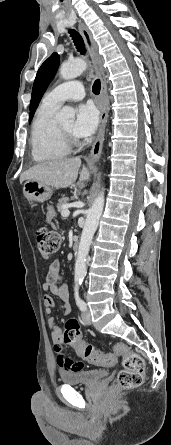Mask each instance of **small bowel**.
<instances>
[{
	"label": "small bowel",
	"instance_id": "c3829d8e",
	"mask_svg": "<svg viewBox=\"0 0 171 445\" xmlns=\"http://www.w3.org/2000/svg\"><path fill=\"white\" fill-rule=\"evenodd\" d=\"M53 209L48 208L45 221L53 226ZM60 263L54 261L50 267L43 283V289L49 292L51 295L58 297L61 300L59 308L67 315L71 312V305L69 303V288L65 283H59L60 277ZM44 311L47 315H50L55 307L53 298L49 294H45L43 297ZM47 327L51 333V339L56 354V362L61 371H78L81 370L83 365L80 362H76L71 356L66 355L61 347V331L57 326L54 318L50 317L47 320Z\"/></svg>",
	"mask_w": 171,
	"mask_h": 445
}]
</instances>
